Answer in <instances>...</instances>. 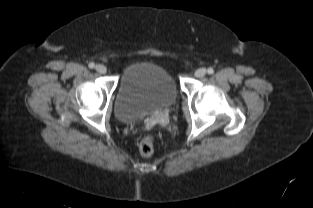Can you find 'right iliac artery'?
Returning a JSON list of instances; mask_svg holds the SVG:
<instances>
[{"mask_svg":"<svg viewBox=\"0 0 313 208\" xmlns=\"http://www.w3.org/2000/svg\"><path fill=\"white\" fill-rule=\"evenodd\" d=\"M89 68H94L95 67V64L93 62L89 63Z\"/></svg>","mask_w":313,"mask_h":208,"instance_id":"1","label":"right iliac artery"}]
</instances>
